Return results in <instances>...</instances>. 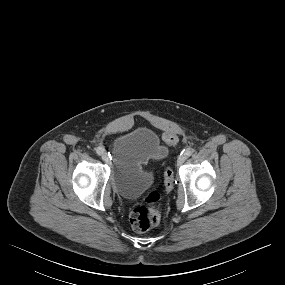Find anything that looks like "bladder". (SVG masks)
I'll return each mask as SVG.
<instances>
[{
  "label": "bladder",
  "instance_id": "bladder-1",
  "mask_svg": "<svg viewBox=\"0 0 285 285\" xmlns=\"http://www.w3.org/2000/svg\"><path fill=\"white\" fill-rule=\"evenodd\" d=\"M166 153L161 136L148 127L117 135L111 145V182L115 192L127 199L142 195L152 184L144 164Z\"/></svg>",
  "mask_w": 285,
  "mask_h": 285
}]
</instances>
